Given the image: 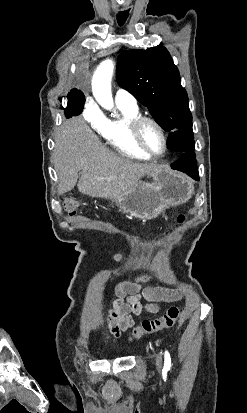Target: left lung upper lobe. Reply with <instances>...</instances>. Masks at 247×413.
I'll return each mask as SVG.
<instances>
[{"label": "left lung upper lobe", "instance_id": "obj_1", "mask_svg": "<svg viewBox=\"0 0 247 413\" xmlns=\"http://www.w3.org/2000/svg\"><path fill=\"white\" fill-rule=\"evenodd\" d=\"M116 76L119 86L133 94L170 133L167 146L171 151L194 152L187 92L165 47L124 51L118 57Z\"/></svg>", "mask_w": 247, "mask_h": 413}]
</instances>
